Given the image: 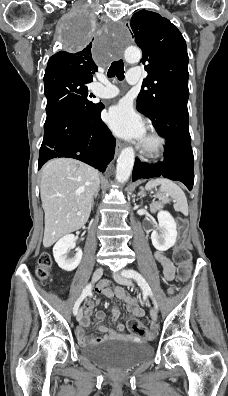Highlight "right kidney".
I'll list each match as a JSON object with an SVG mask.
<instances>
[{"label":"right kidney","instance_id":"1","mask_svg":"<svg viewBox=\"0 0 228 396\" xmlns=\"http://www.w3.org/2000/svg\"><path fill=\"white\" fill-rule=\"evenodd\" d=\"M76 237L68 234L62 237L53 247V256L58 266L64 271H73L80 264L82 250L76 248V254L70 258L68 252L75 247Z\"/></svg>","mask_w":228,"mask_h":396}]
</instances>
